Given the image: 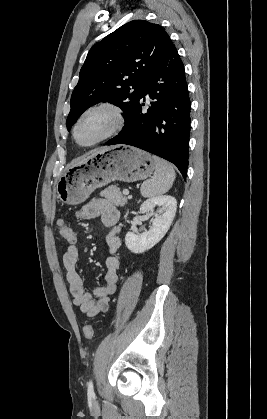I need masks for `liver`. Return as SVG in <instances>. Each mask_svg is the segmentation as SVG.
<instances>
[{"instance_id": "6515ba94", "label": "liver", "mask_w": 267, "mask_h": 419, "mask_svg": "<svg viewBox=\"0 0 267 419\" xmlns=\"http://www.w3.org/2000/svg\"><path fill=\"white\" fill-rule=\"evenodd\" d=\"M104 150H106V148H101V149H96V150H93L91 153H90V155L88 156V157H86V158H84L83 160H81L79 163H81V162H83V161H85L87 158H89V157H92V156H94V155H96V154H98V153H100V152H103ZM78 164V163H77Z\"/></svg>"}]
</instances>
